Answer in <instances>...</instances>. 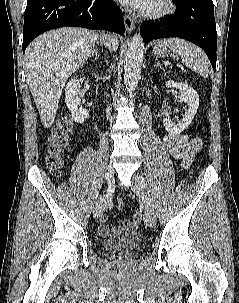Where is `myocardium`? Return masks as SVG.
<instances>
[{
	"mask_svg": "<svg viewBox=\"0 0 239 303\" xmlns=\"http://www.w3.org/2000/svg\"><path fill=\"white\" fill-rule=\"evenodd\" d=\"M175 10L174 0H160L158 6L143 10L142 15L151 19H159L173 14Z\"/></svg>",
	"mask_w": 239,
	"mask_h": 303,
	"instance_id": "obj_1",
	"label": "myocardium"
}]
</instances>
